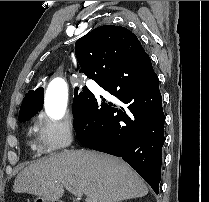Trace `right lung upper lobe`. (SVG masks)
Wrapping results in <instances>:
<instances>
[{"instance_id":"cb5924a9","label":"right lung upper lobe","mask_w":209,"mask_h":202,"mask_svg":"<svg viewBox=\"0 0 209 202\" xmlns=\"http://www.w3.org/2000/svg\"><path fill=\"white\" fill-rule=\"evenodd\" d=\"M75 54L79 72L96 82L111 77L120 84L126 82L130 73L141 71L143 65L139 61L148 56L136 35L115 25L100 26L78 39ZM43 93L42 87L29 91L20 110L42 106Z\"/></svg>"}]
</instances>
